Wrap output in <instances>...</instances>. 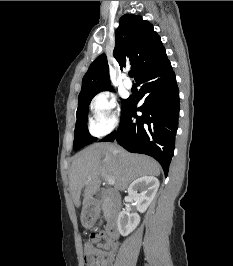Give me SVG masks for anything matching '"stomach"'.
<instances>
[{"label":"stomach","mask_w":233,"mask_h":266,"mask_svg":"<svg viewBox=\"0 0 233 266\" xmlns=\"http://www.w3.org/2000/svg\"><path fill=\"white\" fill-rule=\"evenodd\" d=\"M90 217H92V216L88 213V211H85V213H83V216H82L83 222L86 224Z\"/></svg>","instance_id":"0dacf381"}]
</instances>
